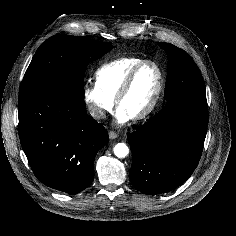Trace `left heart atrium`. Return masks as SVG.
I'll list each match as a JSON object with an SVG mask.
<instances>
[{
	"mask_svg": "<svg viewBox=\"0 0 236 236\" xmlns=\"http://www.w3.org/2000/svg\"><path fill=\"white\" fill-rule=\"evenodd\" d=\"M115 117L118 124H125L131 119V117L120 108L117 109Z\"/></svg>",
	"mask_w": 236,
	"mask_h": 236,
	"instance_id": "1",
	"label": "left heart atrium"
}]
</instances>
